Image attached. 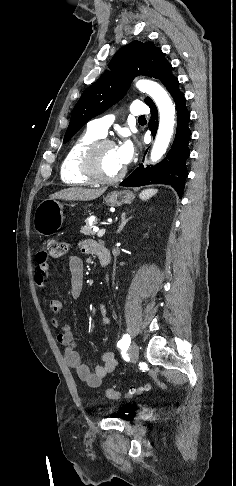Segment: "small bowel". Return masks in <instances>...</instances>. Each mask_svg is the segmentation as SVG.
<instances>
[{
  "label": "small bowel",
  "mask_w": 236,
  "mask_h": 486,
  "mask_svg": "<svg viewBox=\"0 0 236 486\" xmlns=\"http://www.w3.org/2000/svg\"><path fill=\"white\" fill-rule=\"evenodd\" d=\"M98 244L90 239L82 240L79 244L81 252L85 254H96ZM68 267L71 275V284L69 295L73 299L80 297L83 288L84 278V264L80 257L70 256L68 258ZM48 263L47 260L40 253L37 257V265L35 268V282L42 288L47 286L48 279ZM62 310L61 302L52 298L48 302V311L50 314L51 325L58 329L57 340L65 348L64 359L67 365L74 369L79 379L85 382L88 386L96 388L101 385L103 378L112 372L117 366V360L113 352H105L102 354L101 364L90 368L82 359L77 350V344L74 340V335L71 327L63 324L60 318ZM100 321L104 326H109L111 323L110 316L104 303L99 304Z\"/></svg>",
  "instance_id": "obj_1"
}]
</instances>
